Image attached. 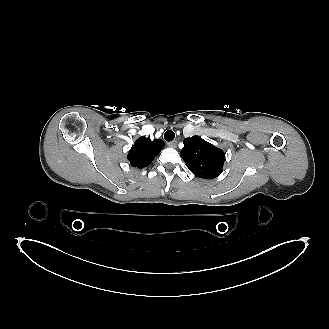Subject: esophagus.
Listing matches in <instances>:
<instances>
[{"mask_svg":"<svg viewBox=\"0 0 329 329\" xmlns=\"http://www.w3.org/2000/svg\"><path fill=\"white\" fill-rule=\"evenodd\" d=\"M167 145H168L170 148H176V147H177V141H171V142H168Z\"/></svg>","mask_w":329,"mask_h":329,"instance_id":"34e87169","label":"esophagus"}]
</instances>
